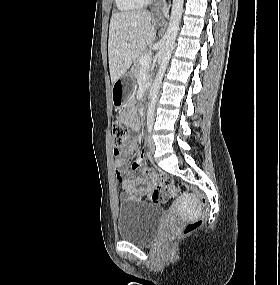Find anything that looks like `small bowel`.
I'll return each mask as SVG.
<instances>
[{
    "mask_svg": "<svg viewBox=\"0 0 280 285\" xmlns=\"http://www.w3.org/2000/svg\"><path fill=\"white\" fill-rule=\"evenodd\" d=\"M120 118L125 120L132 130L137 131L139 123L137 119L127 118L125 113H121ZM136 150V142L131 141L125 148L123 154L115 159V177L122 185L121 199L128 200L132 196H143L152 199L155 203L162 200L161 195L157 192L151 182L145 177H131L136 171H144L146 167V155L140 154L130 167H127L128 156Z\"/></svg>",
    "mask_w": 280,
    "mask_h": 285,
    "instance_id": "1",
    "label": "small bowel"
}]
</instances>
